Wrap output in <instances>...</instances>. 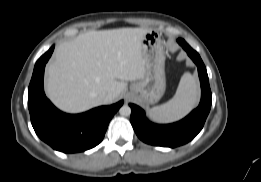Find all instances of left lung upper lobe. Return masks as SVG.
Returning a JSON list of instances; mask_svg holds the SVG:
<instances>
[{
  "mask_svg": "<svg viewBox=\"0 0 261 182\" xmlns=\"http://www.w3.org/2000/svg\"><path fill=\"white\" fill-rule=\"evenodd\" d=\"M177 42H178L181 46L188 45L183 39H178Z\"/></svg>",
  "mask_w": 261,
  "mask_h": 182,
  "instance_id": "5c2ea615",
  "label": "left lung upper lobe"
}]
</instances>
